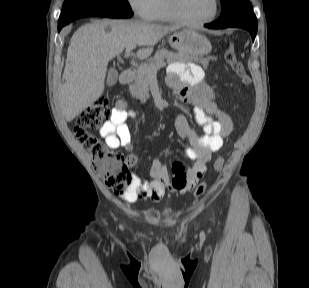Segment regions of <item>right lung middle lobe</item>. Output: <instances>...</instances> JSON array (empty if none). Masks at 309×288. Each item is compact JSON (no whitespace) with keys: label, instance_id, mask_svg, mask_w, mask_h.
I'll use <instances>...</instances> for the list:
<instances>
[{"label":"right lung middle lobe","instance_id":"1","mask_svg":"<svg viewBox=\"0 0 309 288\" xmlns=\"http://www.w3.org/2000/svg\"><path fill=\"white\" fill-rule=\"evenodd\" d=\"M93 9H119L132 11L127 0H66L58 26L66 25L79 15Z\"/></svg>","mask_w":309,"mask_h":288}]
</instances>
